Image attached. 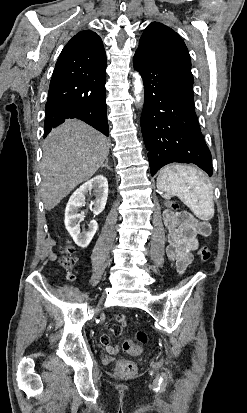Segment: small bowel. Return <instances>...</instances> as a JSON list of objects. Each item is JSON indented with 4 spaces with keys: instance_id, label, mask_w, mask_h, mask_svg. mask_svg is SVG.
Returning a JSON list of instances; mask_svg holds the SVG:
<instances>
[{
    "instance_id": "obj_1",
    "label": "small bowel",
    "mask_w": 247,
    "mask_h": 413,
    "mask_svg": "<svg viewBox=\"0 0 247 413\" xmlns=\"http://www.w3.org/2000/svg\"><path fill=\"white\" fill-rule=\"evenodd\" d=\"M176 214L172 211L164 213V223L168 229V257L175 263L177 273L183 275L194 259L193 251L199 245V239L207 237L210 234V225L203 220L191 218L187 223L178 224ZM126 315H118L116 322H107L105 329L107 331H118L117 335L121 336L122 332L120 324H126L124 317ZM109 334H101L99 336L100 346L102 349H108L110 355H119L121 348L112 346Z\"/></svg>"
}]
</instances>
